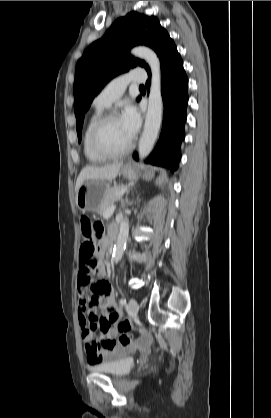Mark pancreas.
Instances as JSON below:
<instances>
[{
    "instance_id": "pancreas-1",
    "label": "pancreas",
    "mask_w": 271,
    "mask_h": 418,
    "mask_svg": "<svg viewBox=\"0 0 271 418\" xmlns=\"http://www.w3.org/2000/svg\"><path fill=\"white\" fill-rule=\"evenodd\" d=\"M125 185H117L113 188H110L104 195L102 204L98 209V214L104 217L106 211L117 201L121 195L127 190Z\"/></svg>"
}]
</instances>
